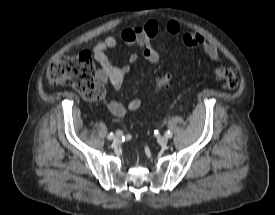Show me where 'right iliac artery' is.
Masks as SVG:
<instances>
[{
  "mask_svg": "<svg viewBox=\"0 0 275 215\" xmlns=\"http://www.w3.org/2000/svg\"><path fill=\"white\" fill-rule=\"evenodd\" d=\"M114 138V134L113 133H110V134H108V139H113Z\"/></svg>",
  "mask_w": 275,
  "mask_h": 215,
  "instance_id": "82829eb1",
  "label": "right iliac artery"
}]
</instances>
